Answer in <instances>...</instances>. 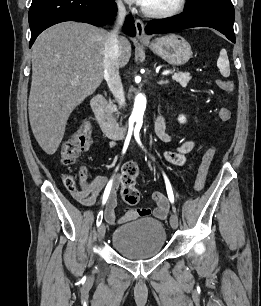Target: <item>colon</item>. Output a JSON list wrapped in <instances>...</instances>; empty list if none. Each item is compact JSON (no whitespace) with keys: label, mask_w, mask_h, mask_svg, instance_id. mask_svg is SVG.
<instances>
[{"label":"colon","mask_w":261,"mask_h":306,"mask_svg":"<svg viewBox=\"0 0 261 306\" xmlns=\"http://www.w3.org/2000/svg\"><path fill=\"white\" fill-rule=\"evenodd\" d=\"M217 84L221 90L226 93H231L234 89V83L228 79H219ZM218 117L222 121H229L231 118V112L227 108H220ZM92 140V131L88 123H82L77 131L64 142L61 149V161L64 165L74 164L78 158L84 153L90 146ZM217 153L215 147L209 149L204 155L202 162L199 166L196 176L194 190L200 191L204 187L207 174L211 163ZM139 175V166L135 162H127L123 165L121 174L119 176V182L121 184V195L123 200L129 204L134 205L139 201V191L136 187L137 177ZM85 177V170L81 169L78 174V179L83 180ZM77 179L73 176H66L64 178L65 185L72 189L76 185Z\"/></svg>","instance_id":"5ec220e1"}]
</instances>
